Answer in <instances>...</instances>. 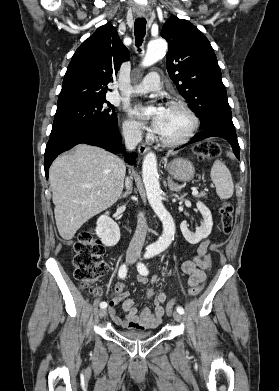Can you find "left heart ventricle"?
<instances>
[{"label": "left heart ventricle", "mask_w": 279, "mask_h": 391, "mask_svg": "<svg viewBox=\"0 0 279 391\" xmlns=\"http://www.w3.org/2000/svg\"><path fill=\"white\" fill-rule=\"evenodd\" d=\"M189 116L180 108H167L159 134L166 139H179L189 129Z\"/></svg>", "instance_id": "b2bd125f"}]
</instances>
